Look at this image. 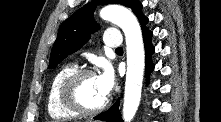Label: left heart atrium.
Wrapping results in <instances>:
<instances>
[{"label":"left heart atrium","mask_w":221,"mask_h":122,"mask_svg":"<svg viewBox=\"0 0 221 122\" xmlns=\"http://www.w3.org/2000/svg\"><path fill=\"white\" fill-rule=\"evenodd\" d=\"M101 91L108 96L114 86V74L112 69L105 65L102 72L97 76Z\"/></svg>","instance_id":"obj_1"}]
</instances>
